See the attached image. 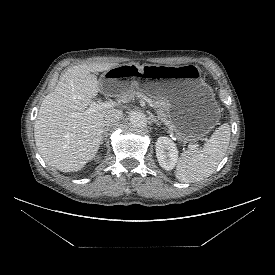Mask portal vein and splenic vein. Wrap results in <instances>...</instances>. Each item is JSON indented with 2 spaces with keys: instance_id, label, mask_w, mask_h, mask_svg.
Masks as SVG:
<instances>
[{
  "instance_id": "obj_1",
  "label": "portal vein and splenic vein",
  "mask_w": 275,
  "mask_h": 275,
  "mask_svg": "<svg viewBox=\"0 0 275 275\" xmlns=\"http://www.w3.org/2000/svg\"><path fill=\"white\" fill-rule=\"evenodd\" d=\"M115 105H116V103L112 102V101L111 102L106 101V102H101V103L92 102L90 107L88 109H86L85 111H83L82 114H89V113L97 112L102 109L114 107ZM187 147L192 148L193 146L191 144H187Z\"/></svg>"
}]
</instances>
